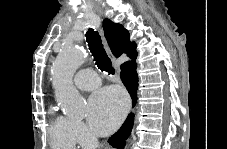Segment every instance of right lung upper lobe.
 Instances as JSON below:
<instances>
[{
    "label": "right lung upper lobe",
    "mask_w": 227,
    "mask_h": 149,
    "mask_svg": "<svg viewBox=\"0 0 227 149\" xmlns=\"http://www.w3.org/2000/svg\"><path fill=\"white\" fill-rule=\"evenodd\" d=\"M103 29L110 49L116 57L127 53L132 60L136 59V44L130 42L129 32L122 25L104 19Z\"/></svg>",
    "instance_id": "1"
}]
</instances>
